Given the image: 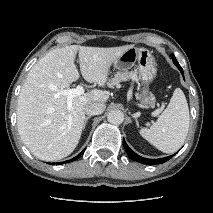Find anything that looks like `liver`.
<instances>
[{"mask_svg": "<svg viewBox=\"0 0 213 213\" xmlns=\"http://www.w3.org/2000/svg\"><path fill=\"white\" fill-rule=\"evenodd\" d=\"M132 47L66 46L49 51L31 68L18 97L17 127L34 156L57 161L70 155L84 129L85 106L109 99V91L93 89L73 97L68 105L62 92L80 77L74 62L76 54L83 78L104 86L111 65Z\"/></svg>", "mask_w": 213, "mask_h": 213, "instance_id": "6515ba94", "label": "liver"}]
</instances>
